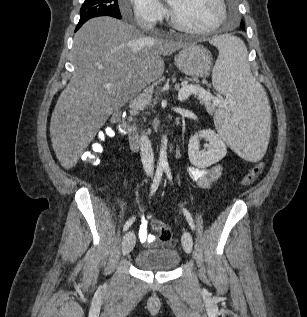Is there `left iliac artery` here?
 Listing matches in <instances>:
<instances>
[{
  "label": "left iliac artery",
  "mask_w": 307,
  "mask_h": 317,
  "mask_svg": "<svg viewBox=\"0 0 307 317\" xmlns=\"http://www.w3.org/2000/svg\"><path fill=\"white\" fill-rule=\"evenodd\" d=\"M165 172H166L167 177L170 180V182H172V174H171V170L168 166L165 167ZM183 213H184V216L186 217V220L189 223V226L191 227L192 230H194L195 225H194L193 218H192L191 214L185 208H183Z\"/></svg>",
  "instance_id": "44dca946"
}]
</instances>
